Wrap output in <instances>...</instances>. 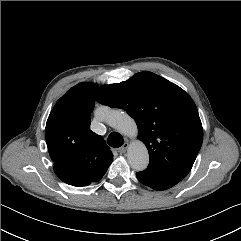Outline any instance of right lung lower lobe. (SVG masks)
<instances>
[{"label":"right lung lower lobe","mask_w":241,"mask_h":241,"mask_svg":"<svg viewBox=\"0 0 241 241\" xmlns=\"http://www.w3.org/2000/svg\"><path fill=\"white\" fill-rule=\"evenodd\" d=\"M54 171H55L56 175L58 176V178H60L63 182H65L69 185L77 186V187L87 186L92 182H96V181L100 180V179L99 180H90V179H86V178H81V177L75 176L61 168H56V169H54Z\"/></svg>","instance_id":"obj_1"}]
</instances>
